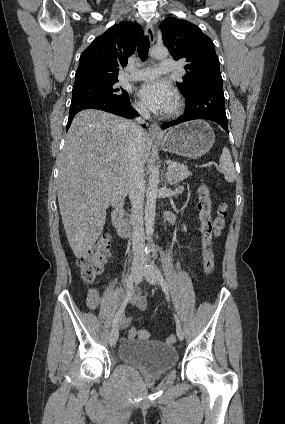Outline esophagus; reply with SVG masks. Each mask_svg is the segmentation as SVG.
Masks as SVG:
<instances>
[{
    "instance_id": "esophagus-1",
    "label": "esophagus",
    "mask_w": 285,
    "mask_h": 424,
    "mask_svg": "<svg viewBox=\"0 0 285 424\" xmlns=\"http://www.w3.org/2000/svg\"><path fill=\"white\" fill-rule=\"evenodd\" d=\"M145 32L146 35L149 37L150 43L154 44L155 42V33H154V28L153 25L151 23H148L145 27ZM149 134L152 137H162L163 133L158 125V123L156 122H152L149 126Z\"/></svg>"
}]
</instances>
